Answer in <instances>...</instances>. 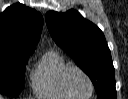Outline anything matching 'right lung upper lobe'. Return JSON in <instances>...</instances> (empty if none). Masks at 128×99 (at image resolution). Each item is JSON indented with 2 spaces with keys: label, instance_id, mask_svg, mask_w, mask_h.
Returning <instances> with one entry per match:
<instances>
[{
  "label": "right lung upper lobe",
  "instance_id": "1",
  "mask_svg": "<svg viewBox=\"0 0 128 99\" xmlns=\"http://www.w3.org/2000/svg\"><path fill=\"white\" fill-rule=\"evenodd\" d=\"M43 25L42 15L22 4L0 14V53L32 54Z\"/></svg>",
  "mask_w": 128,
  "mask_h": 99
}]
</instances>
